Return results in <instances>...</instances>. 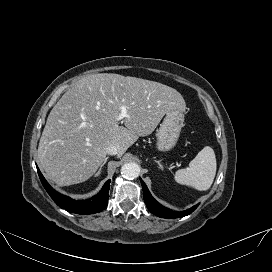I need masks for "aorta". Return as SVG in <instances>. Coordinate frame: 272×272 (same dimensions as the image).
Returning a JSON list of instances; mask_svg holds the SVG:
<instances>
[{
	"mask_svg": "<svg viewBox=\"0 0 272 272\" xmlns=\"http://www.w3.org/2000/svg\"><path fill=\"white\" fill-rule=\"evenodd\" d=\"M121 174L126 179L137 178L140 174V166L134 162H129L121 167Z\"/></svg>",
	"mask_w": 272,
	"mask_h": 272,
	"instance_id": "aorta-1",
	"label": "aorta"
}]
</instances>
